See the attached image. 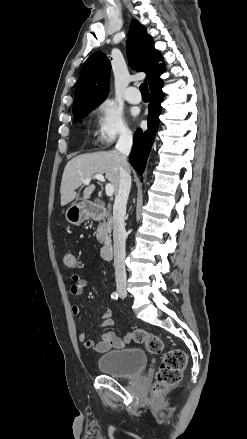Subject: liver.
<instances>
[{"instance_id": "6515ba94", "label": "liver", "mask_w": 247, "mask_h": 439, "mask_svg": "<svg viewBox=\"0 0 247 439\" xmlns=\"http://www.w3.org/2000/svg\"><path fill=\"white\" fill-rule=\"evenodd\" d=\"M120 155L117 150H111L82 154L71 159L65 166L61 180V206L79 199L75 190L86 178L95 174H105L117 193L120 182ZM95 188L93 184L85 188L81 199L90 198Z\"/></svg>"}]
</instances>
